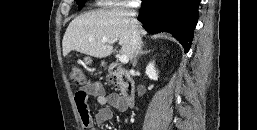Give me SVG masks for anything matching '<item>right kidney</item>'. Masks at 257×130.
<instances>
[{
	"instance_id": "ca27d5eb",
	"label": "right kidney",
	"mask_w": 257,
	"mask_h": 130,
	"mask_svg": "<svg viewBox=\"0 0 257 130\" xmlns=\"http://www.w3.org/2000/svg\"><path fill=\"white\" fill-rule=\"evenodd\" d=\"M146 75L151 80H157L158 79V72L156 71L154 67V62H150L146 67Z\"/></svg>"
}]
</instances>
